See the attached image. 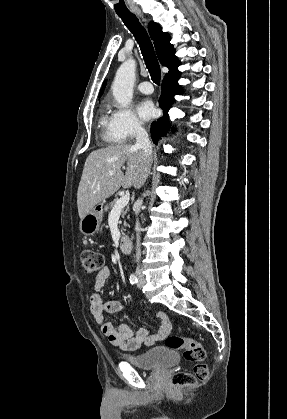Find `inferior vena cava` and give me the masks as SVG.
Returning a JSON list of instances; mask_svg holds the SVG:
<instances>
[{
    "label": "inferior vena cava",
    "instance_id": "1",
    "mask_svg": "<svg viewBox=\"0 0 287 419\" xmlns=\"http://www.w3.org/2000/svg\"><path fill=\"white\" fill-rule=\"evenodd\" d=\"M135 137H136V143L135 147L141 148L145 154L146 157H151L152 155V144L149 139L148 133L146 132L145 128H143L141 125H137L135 127ZM142 199L138 200L137 208H136V215L140 212V207L142 205ZM135 231H136V262H137V268H136V274L138 276H141V269L139 265V260L141 257V250H140V223L137 219L135 224Z\"/></svg>",
    "mask_w": 287,
    "mask_h": 419
}]
</instances>
